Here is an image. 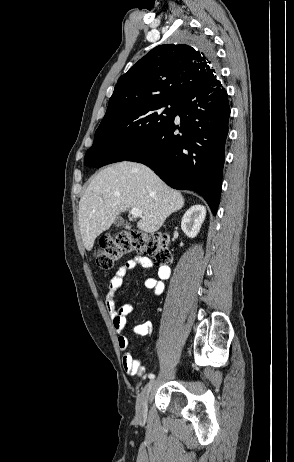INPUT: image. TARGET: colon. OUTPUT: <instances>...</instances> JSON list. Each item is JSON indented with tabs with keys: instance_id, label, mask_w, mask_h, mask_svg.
Wrapping results in <instances>:
<instances>
[{
	"instance_id": "colon-1",
	"label": "colon",
	"mask_w": 294,
	"mask_h": 462,
	"mask_svg": "<svg viewBox=\"0 0 294 462\" xmlns=\"http://www.w3.org/2000/svg\"><path fill=\"white\" fill-rule=\"evenodd\" d=\"M144 254L157 265H167L172 261L168 236L163 233L146 234L140 231H120L114 236L102 239L101 248L96 253V262L103 270H109L127 255Z\"/></svg>"
}]
</instances>
